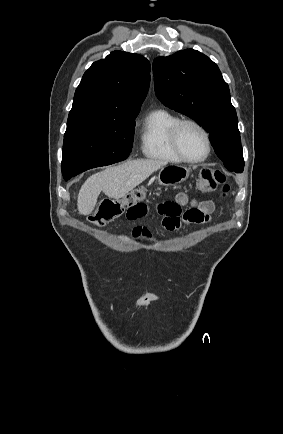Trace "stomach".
<instances>
[{
  "label": "stomach",
  "instance_id": "stomach-1",
  "mask_svg": "<svg viewBox=\"0 0 283 434\" xmlns=\"http://www.w3.org/2000/svg\"><path fill=\"white\" fill-rule=\"evenodd\" d=\"M190 170L181 165H169L163 167L158 174V182L163 186H172L185 181Z\"/></svg>",
  "mask_w": 283,
  "mask_h": 434
}]
</instances>
